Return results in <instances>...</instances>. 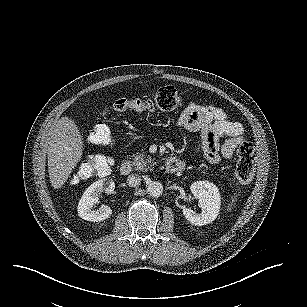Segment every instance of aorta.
Masks as SVG:
<instances>
[{
  "instance_id": "aorta-1",
  "label": "aorta",
  "mask_w": 307,
  "mask_h": 307,
  "mask_svg": "<svg viewBox=\"0 0 307 307\" xmlns=\"http://www.w3.org/2000/svg\"><path fill=\"white\" fill-rule=\"evenodd\" d=\"M164 185L159 181H151L147 185V192L150 196L158 198L163 194Z\"/></svg>"
}]
</instances>
